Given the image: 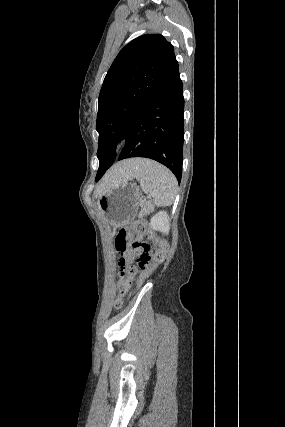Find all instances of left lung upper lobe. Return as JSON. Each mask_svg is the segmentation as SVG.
Segmentation results:
<instances>
[{"mask_svg":"<svg viewBox=\"0 0 285 427\" xmlns=\"http://www.w3.org/2000/svg\"><path fill=\"white\" fill-rule=\"evenodd\" d=\"M177 63L172 44L160 34L142 35L119 52L98 99L100 164L95 181L113 164L115 143L124 138L137 113Z\"/></svg>","mask_w":285,"mask_h":427,"instance_id":"obj_1","label":"left lung upper lobe"}]
</instances>
